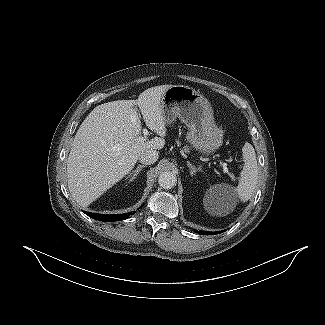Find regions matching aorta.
Here are the masks:
<instances>
[{"mask_svg": "<svg viewBox=\"0 0 325 325\" xmlns=\"http://www.w3.org/2000/svg\"><path fill=\"white\" fill-rule=\"evenodd\" d=\"M158 183L164 189H171L176 185L177 177L171 171H164L159 175Z\"/></svg>", "mask_w": 325, "mask_h": 325, "instance_id": "obj_1", "label": "aorta"}]
</instances>
